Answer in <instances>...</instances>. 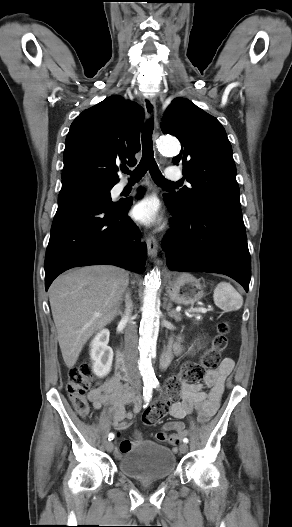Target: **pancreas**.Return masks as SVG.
Masks as SVG:
<instances>
[{
    "label": "pancreas",
    "instance_id": "pancreas-1",
    "mask_svg": "<svg viewBox=\"0 0 292 527\" xmlns=\"http://www.w3.org/2000/svg\"><path fill=\"white\" fill-rule=\"evenodd\" d=\"M193 316L196 317L197 314H194ZM194 321H195L196 323H198L200 320H199V319H195Z\"/></svg>",
    "mask_w": 292,
    "mask_h": 527
}]
</instances>
